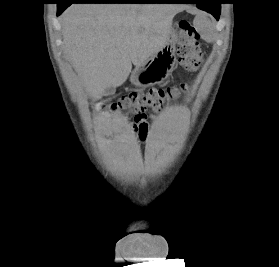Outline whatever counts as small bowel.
<instances>
[{"label": "small bowel", "mask_w": 279, "mask_h": 267, "mask_svg": "<svg viewBox=\"0 0 279 267\" xmlns=\"http://www.w3.org/2000/svg\"><path fill=\"white\" fill-rule=\"evenodd\" d=\"M153 118V116H152ZM133 129L138 133L139 137L144 140L148 134V119L147 116L135 119L133 121Z\"/></svg>", "instance_id": "small-bowel-1"}]
</instances>
